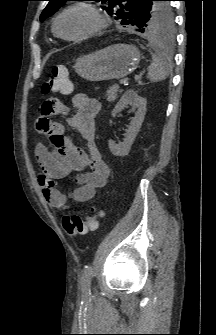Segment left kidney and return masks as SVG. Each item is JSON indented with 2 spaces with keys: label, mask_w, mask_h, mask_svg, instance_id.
Masks as SVG:
<instances>
[{
  "label": "left kidney",
  "mask_w": 216,
  "mask_h": 335,
  "mask_svg": "<svg viewBox=\"0 0 216 335\" xmlns=\"http://www.w3.org/2000/svg\"><path fill=\"white\" fill-rule=\"evenodd\" d=\"M146 104L147 101L145 98L140 97L133 90H128L114 107L111 113L112 117H115L117 113L121 112L127 105H132L134 108H137V111L125 133L124 141L119 144H116L113 140L108 141L109 149L113 155L123 157L130 151L135 137L144 121Z\"/></svg>",
  "instance_id": "obj_1"
}]
</instances>
